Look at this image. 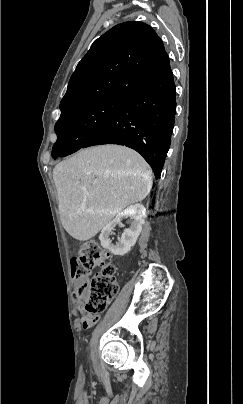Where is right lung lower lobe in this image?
Instances as JSON below:
<instances>
[{
    "label": "right lung lower lobe",
    "mask_w": 243,
    "mask_h": 404,
    "mask_svg": "<svg viewBox=\"0 0 243 404\" xmlns=\"http://www.w3.org/2000/svg\"><path fill=\"white\" fill-rule=\"evenodd\" d=\"M175 100L171 73L160 84L127 98L83 148L99 144L130 147L144 157L158 179L171 143Z\"/></svg>",
    "instance_id": "right-lung-lower-lobe-1"
}]
</instances>
